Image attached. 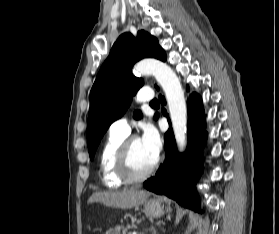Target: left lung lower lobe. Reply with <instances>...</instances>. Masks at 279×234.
<instances>
[{
	"label": "left lung lower lobe",
	"instance_id": "1",
	"mask_svg": "<svg viewBox=\"0 0 279 234\" xmlns=\"http://www.w3.org/2000/svg\"><path fill=\"white\" fill-rule=\"evenodd\" d=\"M160 100L165 104L163 97L160 96ZM162 113L168 118L165 109ZM168 121L170 123L169 118ZM205 128L202 99L198 94L192 93L188 101V136L191 137L188 151L190 153H199L204 148L207 137ZM164 142L165 163L160 166L156 175L145 181L143 185L149 191L166 195L179 204L199 212L200 203L194 184L202 169L199 165L201 156L196 155L190 162L187 153L179 154L172 128L165 133Z\"/></svg>",
	"mask_w": 279,
	"mask_h": 234
}]
</instances>
